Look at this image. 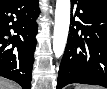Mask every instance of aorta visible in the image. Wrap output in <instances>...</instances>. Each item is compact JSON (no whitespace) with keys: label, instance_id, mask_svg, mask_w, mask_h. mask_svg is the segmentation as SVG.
Masks as SVG:
<instances>
[{"label":"aorta","instance_id":"obj_1","mask_svg":"<svg viewBox=\"0 0 107 89\" xmlns=\"http://www.w3.org/2000/svg\"><path fill=\"white\" fill-rule=\"evenodd\" d=\"M70 25V0H56L53 51L56 58L63 55Z\"/></svg>","mask_w":107,"mask_h":89}]
</instances>
